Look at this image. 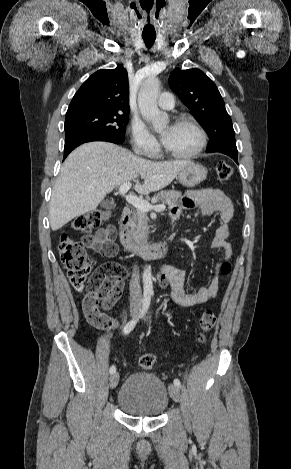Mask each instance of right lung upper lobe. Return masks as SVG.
Segmentation results:
<instances>
[{
  "mask_svg": "<svg viewBox=\"0 0 291 469\" xmlns=\"http://www.w3.org/2000/svg\"><path fill=\"white\" fill-rule=\"evenodd\" d=\"M81 110L129 112L128 74L119 65L92 74L75 93L67 113Z\"/></svg>",
  "mask_w": 291,
  "mask_h": 469,
  "instance_id": "obj_1",
  "label": "right lung upper lobe"
}]
</instances>
